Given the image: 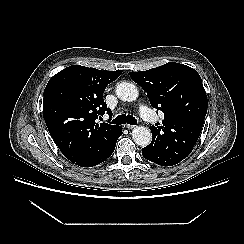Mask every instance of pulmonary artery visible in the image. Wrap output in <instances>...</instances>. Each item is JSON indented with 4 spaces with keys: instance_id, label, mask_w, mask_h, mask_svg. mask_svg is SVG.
I'll list each match as a JSON object with an SVG mask.
<instances>
[{
    "instance_id": "e3ab8cb5",
    "label": "pulmonary artery",
    "mask_w": 244,
    "mask_h": 244,
    "mask_svg": "<svg viewBox=\"0 0 244 244\" xmlns=\"http://www.w3.org/2000/svg\"><path fill=\"white\" fill-rule=\"evenodd\" d=\"M139 112H140V115L142 116V118L146 121H153L155 119L151 110L144 105L140 106Z\"/></svg>"
}]
</instances>
